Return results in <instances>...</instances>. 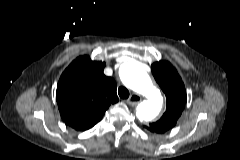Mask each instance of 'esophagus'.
I'll use <instances>...</instances> for the list:
<instances>
[{
  "label": "esophagus",
  "instance_id": "obj_1",
  "mask_svg": "<svg viewBox=\"0 0 240 160\" xmlns=\"http://www.w3.org/2000/svg\"><path fill=\"white\" fill-rule=\"evenodd\" d=\"M141 102V97L138 94H132L127 100L126 103L131 106H136Z\"/></svg>",
  "mask_w": 240,
  "mask_h": 160
}]
</instances>
